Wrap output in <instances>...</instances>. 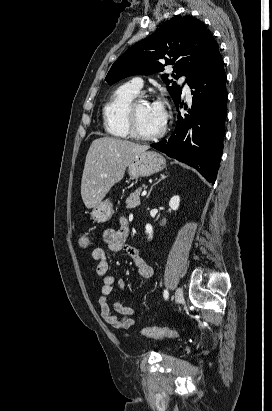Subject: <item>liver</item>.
I'll use <instances>...</instances> for the list:
<instances>
[{
  "label": "liver",
  "mask_w": 272,
  "mask_h": 411,
  "mask_svg": "<svg viewBox=\"0 0 272 411\" xmlns=\"http://www.w3.org/2000/svg\"><path fill=\"white\" fill-rule=\"evenodd\" d=\"M148 146L110 137L95 139L88 150L81 181L86 208L101 203L109 190L124 177L127 164Z\"/></svg>",
  "instance_id": "liver-1"
}]
</instances>
